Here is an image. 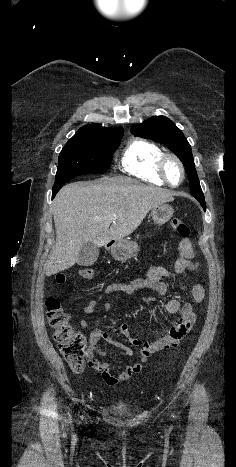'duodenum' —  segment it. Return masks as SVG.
Here are the masks:
<instances>
[{"mask_svg":"<svg viewBox=\"0 0 236 467\" xmlns=\"http://www.w3.org/2000/svg\"><path fill=\"white\" fill-rule=\"evenodd\" d=\"M113 244H114V242H113V241H109V242L107 243V246H108V247H112V246H113Z\"/></svg>","mask_w":236,"mask_h":467,"instance_id":"duodenum-1","label":"duodenum"}]
</instances>
